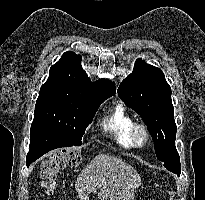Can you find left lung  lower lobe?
I'll list each match as a JSON object with an SVG mask.
<instances>
[{"instance_id":"1","label":"left lung lower lobe","mask_w":205,"mask_h":200,"mask_svg":"<svg viewBox=\"0 0 205 200\" xmlns=\"http://www.w3.org/2000/svg\"><path fill=\"white\" fill-rule=\"evenodd\" d=\"M178 155V153H177ZM162 164L164 165V167H166V169H168L169 171L176 173L178 176L181 173V169H180V159H179V155L177 156L176 160H172V161H167V162H162Z\"/></svg>"}]
</instances>
